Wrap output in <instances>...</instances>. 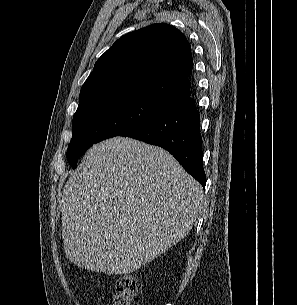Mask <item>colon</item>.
<instances>
[{
	"label": "colon",
	"instance_id": "1",
	"mask_svg": "<svg viewBox=\"0 0 297 305\" xmlns=\"http://www.w3.org/2000/svg\"><path fill=\"white\" fill-rule=\"evenodd\" d=\"M140 286L132 275L122 276L116 284L110 305H139Z\"/></svg>",
	"mask_w": 297,
	"mask_h": 305
}]
</instances>
